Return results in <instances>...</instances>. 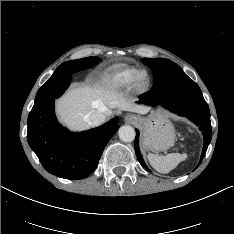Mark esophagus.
<instances>
[{"label": "esophagus", "mask_w": 234, "mask_h": 234, "mask_svg": "<svg viewBox=\"0 0 234 234\" xmlns=\"http://www.w3.org/2000/svg\"><path fill=\"white\" fill-rule=\"evenodd\" d=\"M138 121V118L136 116H133V115H127L125 116V122L127 123H136Z\"/></svg>", "instance_id": "esophagus-1"}]
</instances>
